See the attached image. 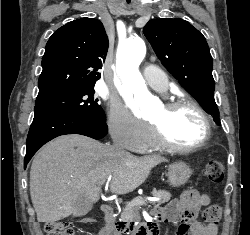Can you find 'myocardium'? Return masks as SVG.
Returning a JSON list of instances; mask_svg holds the SVG:
<instances>
[{
  "label": "myocardium",
  "instance_id": "f54148a6",
  "mask_svg": "<svg viewBox=\"0 0 250 235\" xmlns=\"http://www.w3.org/2000/svg\"><path fill=\"white\" fill-rule=\"evenodd\" d=\"M182 107H191L200 115L202 122H203V128H204L203 136L195 144L177 145V144L172 143L167 138L162 125L150 123L152 133H153V136L155 137L156 142L164 150H167L170 152H178V153L193 152L203 147L210 138V135H211L210 118L206 110L201 106L200 103H198L197 101L191 98H179V99L171 100L164 105V108L167 114H170L171 112Z\"/></svg>",
  "mask_w": 250,
  "mask_h": 235
}]
</instances>
